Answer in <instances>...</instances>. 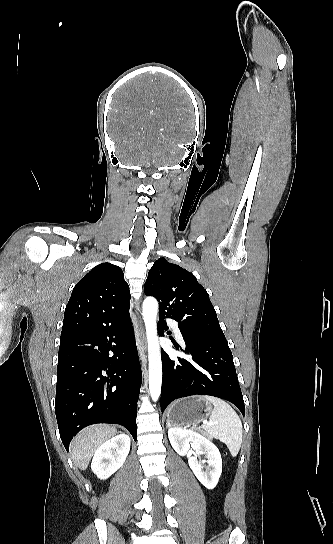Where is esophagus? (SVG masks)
<instances>
[{
	"instance_id": "obj_1",
	"label": "esophagus",
	"mask_w": 333,
	"mask_h": 544,
	"mask_svg": "<svg viewBox=\"0 0 333 544\" xmlns=\"http://www.w3.org/2000/svg\"><path fill=\"white\" fill-rule=\"evenodd\" d=\"M136 345L138 349L139 356H142L146 352V341L144 329L140 327L138 334L136 335Z\"/></svg>"
}]
</instances>
